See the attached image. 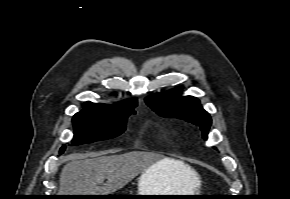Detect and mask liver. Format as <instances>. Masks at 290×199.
Segmentation results:
<instances>
[{
  "label": "liver",
  "instance_id": "obj_1",
  "mask_svg": "<svg viewBox=\"0 0 290 199\" xmlns=\"http://www.w3.org/2000/svg\"><path fill=\"white\" fill-rule=\"evenodd\" d=\"M153 165L173 178V193H194L200 184L198 174L182 161L133 151L68 162L61 171L59 195H109Z\"/></svg>",
  "mask_w": 290,
  "mask_h": 199
}]
</instances>
